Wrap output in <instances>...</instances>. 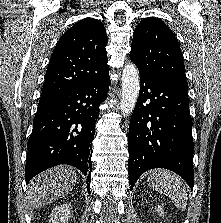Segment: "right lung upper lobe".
Returning <instances> with one entry per match:
<instances>
[{
  "label": "right lung upper lobe",
  "mask_w": 221,
  "mask_h": 223,
  "mask_svg": "<svg viewBox=\"0 0 221 223\" xmlns=\"http://www.w3.org/2000/svg\"><path fill=\"white\" fill-rule=\"evenodd\" d=\"M107 34L101 21L84 18L59 39L46 71L40 101L86 84L109 70Z\"/></svg>",
  "instance_id": "right-lung-upper-lobe-1"
}]
</instances>
